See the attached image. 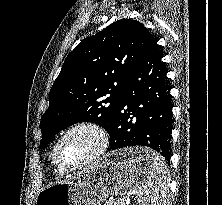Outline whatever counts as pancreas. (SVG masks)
Masks as SVG:
<instances>
[{
	"instance_id": "pancreas-1",
	"label": "pancreas",
	"mask_w": 222,
	"mask_h": 205,
	"mask_svg": "<svg viewBox=\"0 0 222 205\" xmlns=\"http://www.w3.org/2000/svg\"><path fill=\"white\" fill-rule=\"evenodd\" d=\"M104 205H125L121 199H110Z\"/></svg>"
}]
</instances>
